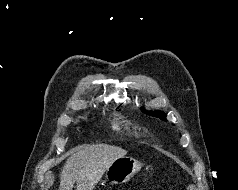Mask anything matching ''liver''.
Listing matches in <instances>:
<instances>
[{
    "mask_svg": "<svg viewBox=\"0 0 238 190\" xmlns=\"http://www.w3.org/2000/svg\"><path fill=\"white\" fill-rule=\"evenodd\" d=\"M127 151L121 147L97 144L79 149L64 164L59 190H93L103 174L117 159L124 157Z\"/></svg>",
    "mask_w": 238,
    "mask_h": 190,
    "instance_id": "1",
    "label": "liver"
}]
</instances>
